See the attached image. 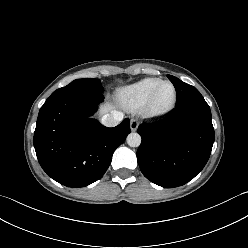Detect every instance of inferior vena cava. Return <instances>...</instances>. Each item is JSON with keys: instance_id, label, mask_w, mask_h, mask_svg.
Masks as SVG:
<instances>
[{"instance_id": "obj_1", "label": "inferior vena cava", "mask_w": 248, "mask_h": 248, "mask_svg": "<svg viewBox=\"0 0 248 248\" xmlns=\"http://www.w3.org/2000/svg\"><path fill=\"white\" fill-rule=\"evenodd\" d=\"M124 114L119 111H112L110 114H105L101 118V123L107 127H115L123 120Z\"/></svg>"}]
</instances>
